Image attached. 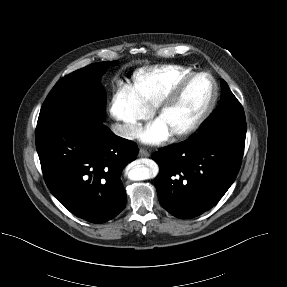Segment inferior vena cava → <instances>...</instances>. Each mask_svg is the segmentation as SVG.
Segmentation results:
<instances>
[{
	"label": "inferior vena cava",
	"mask_w": 287,
	"mask_h": 287,
	"mask_svg": "<svg viewBox=\"0 0 287 287\" xmlns=\"http://www.w3.org/2000/svg\"><path fill=\"white\" fill-rule=\"evenodd\" d=\"M112 131L125 139H134L138 135V131L135 125L126 123V124H119L116 123L111 127Z\"/></svg>",
	"instance_id": "obj_1"
}]
</instances>
